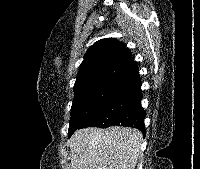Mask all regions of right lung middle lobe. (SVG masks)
<instances>
[{
    "mask_svg": "<svg viewBox=\"0 0 200 169\" xmlns=\"http://www.w3.org/2000/svg\"><path fill=\"white\" fill-rule=\"evenodd\" d=\"M116 85L117 83H101L75 94L68 137L107 100Z\"/></svg>",
    "mask_w": 200,
    "mask_h": 169,
    "instance_id": "obj_1",
    "label": "right lung middle lobe"
}]
</instances>
